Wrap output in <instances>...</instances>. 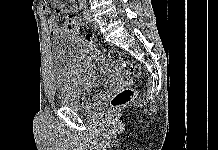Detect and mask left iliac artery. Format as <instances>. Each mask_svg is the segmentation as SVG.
<instances>
[{"instance_id": "1", "label": "left iliac artery", "mask_w": 218, "mask_h": 150, "mask_svg": "<svg viewBox=\"0 0 218 150\" xmlns=\"http://www.w3.org/2000/svg\"><path fill=\"white\" fill-rule=\"evenodd\" d=\"M84 1H85V0H82V5H81L82 7L84 6ZM80 16H81L82 18H84L86 15H85L84 13H82Z\"/></svg>"}]
</instances>
